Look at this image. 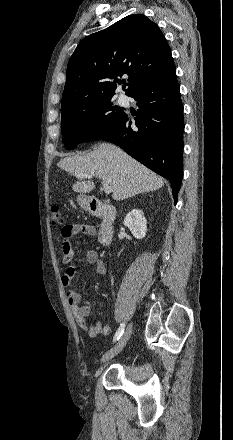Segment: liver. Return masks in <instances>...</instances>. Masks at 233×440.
Masks as SVG:
<instances>
[{
	"instance_id": "liver-1",
	"label": "liver",
	"mask_w": 233,
	"mask_h": 440,
	"mask_svg": "<svg viewBox=\"0 0 233 440\" xmlns=\"http://www.w3.org/2000/svg\"><path fill=\"white\" fill-rule=\"evenodd\" d=\"M58 167L79 179L72 189L77 193H90L95 184L85 181L80 174H89L104 180L112 187V198L124 200L139 193L160 189L164 179L130 157L119 147L101 143L83 156L65 157Z\"/></svg>"
}]
</instances>
